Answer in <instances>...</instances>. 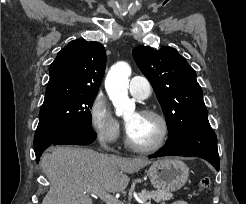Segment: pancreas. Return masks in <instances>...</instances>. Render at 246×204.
I'll return each instance as SVG.
<instances>
[{
  "mask_svg": "<svg viewBox=\"0 0 246 204\" xmlns=\"http://www.w3.org/2000/svg\"><path fill=\"white\" fill-rule=\"evenodd\" d=\"M140 199L144 201L154 200L156 202L167 201L173 198L172 193L168 191H141L138 193Z\"/></svg>",
  "mask_w": 246,
  "mask_h": 204,
  "instance_id": "obj_1",
  "label": "pancreas"
}]
</instances>
